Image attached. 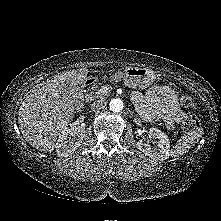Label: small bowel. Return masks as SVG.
<instances>
[{
  "label": "small bowel",
  "mask_w": 221,
  "mask_h": 221,
  "mask_svg": "<svg viewBox=\"0 0 221 221\" xmlns=\"http://www.w3.org/2000/svg\"><path fill=\"white\" fill-rule=\"evenodd\" d=\"M132 100L138 114L147 122L163 121L168 130L183 120L185 113L180 107L176 89L156 85L145 94L134 92Z\"/></svg>",
  "instance_id": "small-bowel-1"
}]
</instances>
